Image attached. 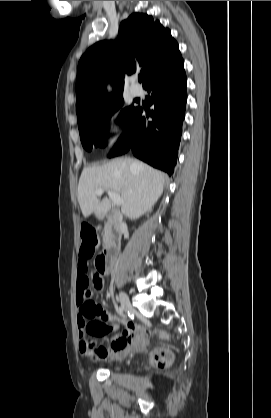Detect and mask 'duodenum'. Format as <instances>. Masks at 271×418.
I'll list each match as a JSON object with an SVG mask.
<instances>
[{"mask_svg": "<svg viewBox=\"0 0 271 418\" xmlns=\"http://www.w3.org/2000/svg\"><path fill=\"white\" fill-rule=\"evenodd\" d=\"M99 217L107 220L105 246L97 259L100 271L105 273L113 266L117 259L125 227L116 212L101 214Z\"/></svg>", "mask_w": 271, "mask_h": 418, "instance_id": "1", "label": "duodenum"}]
</instances>
